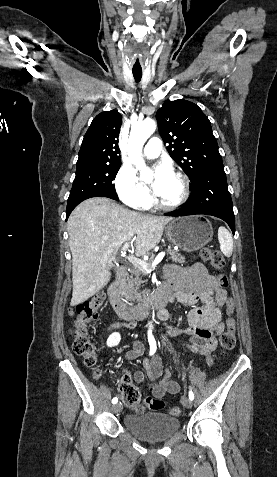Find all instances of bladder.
<instances>
[{"mask_svg":"<svg viewBox=\"0 0 277 477\" xmlns=\"http://www.w3.org/2000/svg\"><path fill=\"white\" fill-rule=\"evenodd\" d=\"M124 426L142 440L161 441L168 439L179 430L180 421L158 411L129 413L124 417Z\"/></svg>","mask_w":277,"mask_h":477,"instance_id":"31cf9c89","label":"bladder"}]
</instances>
